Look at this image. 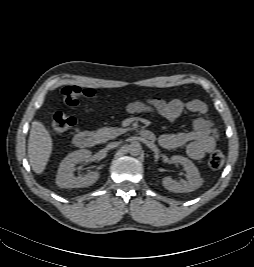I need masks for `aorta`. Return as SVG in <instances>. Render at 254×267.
I'll use <instances>...</instances> for the list:
<instances>
[{
    "mask_svg": "<svg viewBox=\"0 0 254 267\" xmlns=\"http://www.w3.org/2000/svg\"><path fill=\"white\" fill-rule=\"evenodd\" d=\"M128 151L132 156H138L142 152L141 144L137 141L132 142L130 145H128Z\"/></svg>",
    "mask_w": 254,
    "mask_h": 267,
    "instance_id": "762f6f07",
    "label": "aorta"
}]
</instances>
